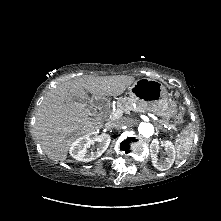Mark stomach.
<instances>
[{
  "instance_id": "stomach-1",
  "label": "stomach",
  "mask_w": 221,
  "mask_h": 221,
  "mask_svg": "<svg viewBox=\"0 0 221 221\" xmlns=\"http://www.w3.org/2000/svg\"><path fill=\"white\" fill-rule=\"evenodd\" d=\"M130 98L138 106L166 118H174L178 114L177 107L171 105L166 88L157 80L141 78L129 87Z\"/></svg>"
}]
</instances>
